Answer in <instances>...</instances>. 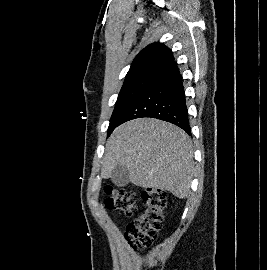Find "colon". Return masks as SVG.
<instances>
[{
  "label": "colon",
  "mask_w": 267,
  "mask_h": 270,
  "mask_svg": "<svg viewBox=\"0 0 267 270\" xmlns=\"http://www.w3.org/2000/svg\"><path fill=\"white\" fill-rule=\"evenodd\" d=\"M135 193L111 186L105 188L104 206L117 213L130 214L138 206ZM166 193L161 189H147L142 194V208L137 217L126 225L125 238L133 250L149 247L162 228Z\"/></svg>",
  "instance_id": "5ec220e1"
}]
</instances>
